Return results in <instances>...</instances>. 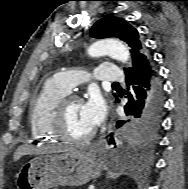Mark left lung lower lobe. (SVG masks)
<instances>
[{"mask_svg":"<svg viewBox=\"0 0 188 189\" xmlns=\"http://www.w3.org/2000/svg\"><path fill=\"white\" fill-rule=\"evenodd\" d=\"M128 102L124 110L130 119L128 125L133 131H144L160 125L164 105V92L156 69L150 59L142 60L125 70ZM119 100H117L118 102ZM125 123L119 122L118 126ZM113 137L109 144H113Z\"/></svg>","mask_w":188,"mask_h":189,"instance_id":"1","label":"left lung lower lobe"}]
</instances>
